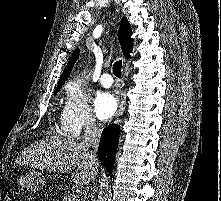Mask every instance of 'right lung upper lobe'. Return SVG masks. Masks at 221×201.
Listing matches in <instances>:
<instances>
[{
  "mask_svg": "<svg viewBox=\"0 0 221 201\" xmlns=\"http://www.w3.org/2000/svg\"><path fill=\"white\" fill-rule=\"evenodd\" d=\"M131 35H132L131 26L128 23L127 19L123 17L121 20V25H120L119 32H118V38L120 41L122 52L126 59L129 58V54L133 50V39L131 38ZM79 52L80 50L77 48L72 54L66 68L64 69L60 77L58 86L56 87L55 91H59L62 85L64 84L65 80L68 78L75 61L79 57Z\"/></svg>",
  "mask_w": 221,
  "mask_h": 201,
  "instance_id": "obj_1",
  "label": "right lung upper lobe"
}]
</instances>
